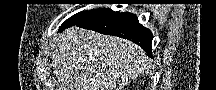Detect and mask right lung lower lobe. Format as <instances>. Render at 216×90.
Instances as JSON below:
<instances>
[{
	"label": "right lung lower lobe",
	"mask_w": 216,
	"mask_h": 90,
	"mask_svg": "<svg viewBox=\"0 0 216 90\" xmlns=\"http://www.w3.org/2000/svg\"><path fill=\"white\" fill-rule=\"evenodd\" d=\"M72 25H77L78 27L93 30L102 34L114 35L131 40L152 57L151 44L153 34L149 29L143 27L139 23L134 14L108 10L87 20L67 25L62 29Z\"/></svg>",
	"instance_id": "obj_1"
}]
</instances>
